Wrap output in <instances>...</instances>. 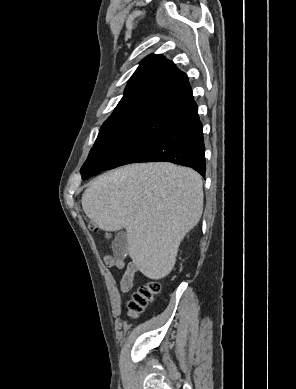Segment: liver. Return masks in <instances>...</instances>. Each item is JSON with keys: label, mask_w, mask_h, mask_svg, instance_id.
I'll use <instances>...</instances> for the list:
<instances>
[{"label": "liver", "mask_w": 296, "mask_h": 389, "mask_svg": "<svg viewBox=\"0 0 296 389\" xmlns=\"http://www.w3.org/2000/svg\"><path fill=\"white\" fill-rule=\"evenodd\" d=\"M202 186L201 176L190 168L132 164L95 179L82 195V207L101 230L125 228L133 263L158 280L172 271L181 241L201 218Z\"/></svg>", "instance_id": "1"}]
</instances>
